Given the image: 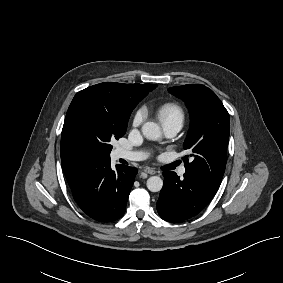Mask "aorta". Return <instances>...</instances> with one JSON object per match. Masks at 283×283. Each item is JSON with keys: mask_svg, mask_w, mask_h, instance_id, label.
<instances>
[{"mask_svg": "<svg viewBox=\"0 0 283 283\" xmlns=\"http://www.w3.org/2000/svg\"><path fill=\"white\" fill-rule=\"evenodd\" d=\"M142 134L148 140L156 141L161 138L162 132L155 122H146L142 126ZM147 188L151 192H159L163 186V180L159 176H151L147 180Z\"/></svg>", "mask_w": 283, "mask_h": 283, "instance_id": "1", "label": "aorta"}]
</instances>
